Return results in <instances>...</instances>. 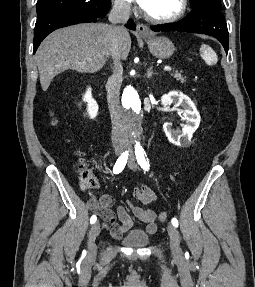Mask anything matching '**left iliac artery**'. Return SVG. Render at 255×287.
I'll return each mask as SVG.
<instances>
[{
  "mask_svg": "<svg viewBox=\"0 0 255 287\" xmlns=\"http://www.w3.org/2000/svg\"><path fill=\"white\" fill-rule=\"evenodd\" d=\"M135 155H136V159H137V162L140 165V167L144 171H148L149 170V161H148V158H147L145 151L141 147H136L135 148ZM171 222L175 227L178 226V220L176 218H173Z\"/></svg>",
  "mask_w": 255,
  "mask_h": 287,
  "instance_id": "left-iliac-artery-1",
  "label": "left iliac artery"
}]
</instances>
